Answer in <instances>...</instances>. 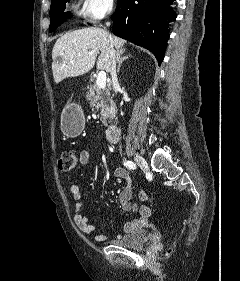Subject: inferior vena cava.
Segmentation results:
<instances>
[{
    "mask_svg": "<svg viewBox=\"0 0 240 281\" xmlns=\"http://www.w3.org/2000/svg\"><path fill=\"white\" fill-rule=\"evenodd\" d=\"M107 26L110 25V23H106ZM110 59H111V78H112V85H113V89L115 92L118 91L119 89V83H118V78H117V74H116V51L114 50L113 46L111 47L110 50Z\"/></svg>",
    "mask_w": 240,
    "mask_h": 281,
    "instance_id": "inferior-vena-cava-1",
    "label": "inferior vena cava"
}]
</instances>
